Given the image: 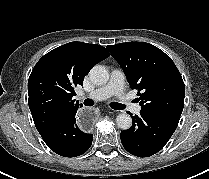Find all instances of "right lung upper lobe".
I'll return each instance as SVG.
<instances>
[{
    "label": "right lung upper lobe",
    "instance_id": "cb5924a9",
    "mask_svg": "<svg viewBox=\"0 0 209 179\" xmlns=\"http://www.w3.org/2000/svg\"><path fill=\"white\" fill-rule=\"evenodd\" d=\"M109 56L103 46L70 42L53 49L37 62L28 80V96L40 134L82 106L72 99L74 87L82 85L90 69Z\"/></svg>",
    "mask_w": 209,
    "mask_h": 179
}]
</instances>
